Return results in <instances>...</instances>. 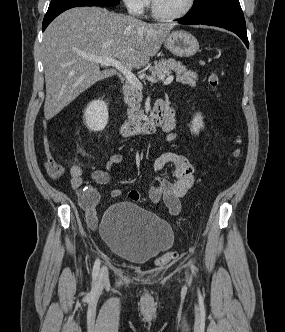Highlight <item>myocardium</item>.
Returning <instances> with one entry per match:
<instances>
[{"label":"myocardium","mask_w":285,"mask_h":332,"mask_svg":"<svg viewBox=\"0 0 285 332\" xmlns=\"http://www.w3.org/2000/svg\"><path fill=\"white\" fill-rule=\"evenodd\" d=\"M196 0H188L187 6L179 13L174 15H165L161 14L157 11L154 0H150V12L153 18L160 20V21H177L185 17L194 7Z\"/></svg>","instance_id":"myocardium-1"}]
</instances>
